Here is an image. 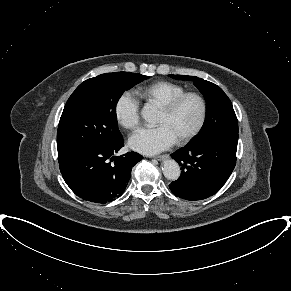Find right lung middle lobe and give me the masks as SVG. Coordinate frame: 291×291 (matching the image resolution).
<instances>
[{
	"mask_svg": "<svg viewBox=\"0 0 291 291\" xmlns=\"http://www.w3.org/2000/svg\"><path fill=\"white\" fill-rule=\"evenodd\" d=\"M131 72L101 74L81 83L68 99L57 131L58 161L122 138L116 104L125 90L148 79Z\"/></svg>",
	"mask_w": 291,
	"mask_h": 291,
	"instance_id": "right-lung-middle-lobe-1",
	"label": "right lung middle lobe"
}]
</instances>
